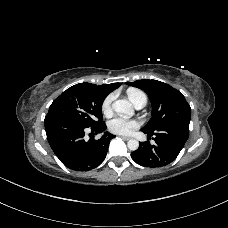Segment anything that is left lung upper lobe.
Returning a JSON list of instances; mask_svg holds the SVG:
<instances>
[{"instance_id":"1","label":"left lung upper lobe","mask_w":228,"mask_h":228,"mask_svg":"<svg viewBox=\"0 0 228 228\" xmlns=\"http://www.w3.org/2000/svg\"><path fill=\"white\" fill-rule=\"evenodd\" d=\"M128 85L143 89L152 102V117L143 128L154 132L170 123L190 121L191 108L180 91L157 80H137Z\"/></svg>"}]
</instances>
